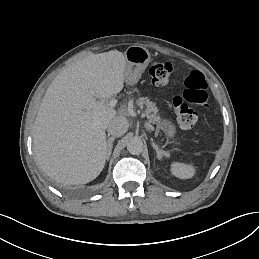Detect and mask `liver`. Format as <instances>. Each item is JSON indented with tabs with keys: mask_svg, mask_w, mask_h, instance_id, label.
Instances as JSON below:
<instances>
[{
	"mask_svg": "<svg viewBox=\"0 0 259 259\" xmlns=\"http://www.w3.org/2000/svg\"><path fill=\"white\" fill-rule=\"evenodd\" d=\"M125 67L126 58L117 50L90 54L51 82L33 126V152L49 177L67 185L85 184L103 170L105 130L117 113L108 99L122 90Z\"/></svg>",
	"mask_w": 259,
	"mask_h": 259,
	"instance_id": "6515ba94",
	"label": "liver"
}]
</instances>
